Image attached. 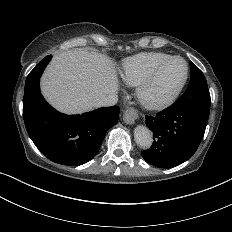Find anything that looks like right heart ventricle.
I'll list each match as a JSON object with an SVG mask.
<instances>
[{
    "label": "right heart ventricle",
    "mask_w": 232,
    "mask_h": 232,
    "mask_svg": "<svg viewBox=\"0 0 232 232\" xmlns=\"http://www.w3.org/2000/svg\"><path fill=\"white\" fill-rule=\"evenodd\" d=\"M170 57L169 54L157 51H144L127 56L119 64L118 80L125 87H136L151 69Z\"/></svg>",
    "instance_id": "1"
}]
</instances>
